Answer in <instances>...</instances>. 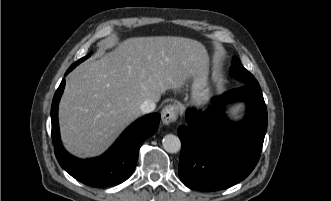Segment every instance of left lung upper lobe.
I'll return each instance as SVG.
<instances>
[{"label":"left lung upper lobe","mask_w":331,"mask_h":201,"mask_svg":"<svg viewBox=\"0 0 331 201\" xmlns=\"http://www.w3.org/2000/svg\"><path fill=\"white\" fill-rule=\"evenodd\" d=\"M232 73L238 80L243 81L245 84L257 83L254 76L242 66L237 57L233 58Z\"/></svg>","instance_id":"obj_1"}]
</instances>
